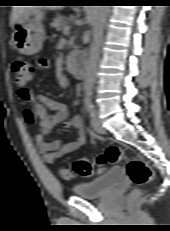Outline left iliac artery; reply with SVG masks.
Listing matches in <instances>:
<instances>
[{
	"label": "left iliac artery",
	"mask_w": 170,
	"mask_h": 231,
	"mask_svg": "<svg viewBox=\"0 0 170 231\" xmlns=\"http://www.w3.org/2000/svg\"><path fill=\"white\" fill-rule=\"evenodd\" d=\"M92 93L93 92L91 89H86L85 96H84L85 108H86L87 113L90 116L95 115V108H94L93 101H92Z\"/></svg>",
	"instance_id": "1"
}]
</instances>
